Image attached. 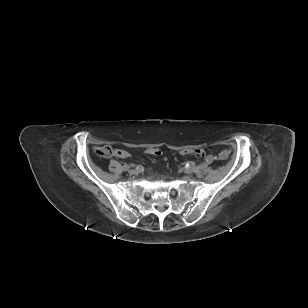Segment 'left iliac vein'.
<instances>
[{
    "instance_id": "4c4485c4",
    "label": "left iliac vein",
    "mask_w": 308,
    "mask_h": 308,
    "mask_svg": "<svg viewBox=\"0 0 308 308\" xmlns=\"http://www.w3.org/2000/svg\"><path fill=\"white\" fill-rule=\"evenodd\" d=\"M184 172H185L186 174H191V173L193 172V169H192V168H185V169H184Z\"/></svg>"
}]
</instances>
